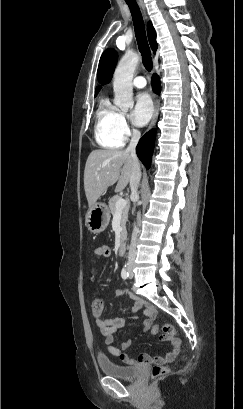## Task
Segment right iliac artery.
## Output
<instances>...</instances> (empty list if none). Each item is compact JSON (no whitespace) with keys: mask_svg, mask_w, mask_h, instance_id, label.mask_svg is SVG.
<instances>
[{"mask_svg":"<svg viewBox=\"0 0 243 409\" xmlns=\"http://www.w3.org/2000/svg\"><path fill=\"white\" fill-rule=\"evenodd\" d=\"M121 277L126 280L129 277V273L126 269V265L123 267L122 271H121Z\"/></svg>","mask_w":243,"mask_h":409,"instance_id":"82829eb1","label":"right iliac artery"}]
</instances>
